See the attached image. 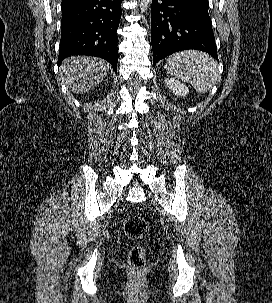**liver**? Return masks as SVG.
<instances>
[{"mask_svg": "<svg viewBox=\"0 0 272 303\" xmlns=\"http://www.w3.org/2000/svg\"><path fill=\"white\" fill-rule=\"evenodd\" d=\"M109 72V64L100 58L77 56L63 61L60 75L73 93L89 92L103 81Z\"/></svg>", "mask_w": 272, "mask_h": 303, "instance_id": "6515ba94", "label": "liver"}]
</instances>
